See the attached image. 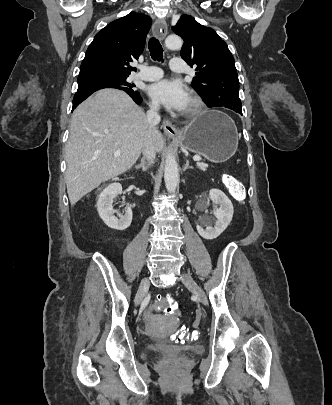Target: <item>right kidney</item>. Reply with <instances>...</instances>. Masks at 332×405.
<instances>
[{
    "mask_svg": "<svg viewBox=\"0 0 332 405\" xmlns=\"http://www.w3.org/2000/svg\"><path fill=\"white\" fill-rule=\"evenodd\" d=\"M122 194V186L120 183H112L108 185L99 195L97 201V211L104 223L112 229L123 231L126 230L132 222V210L127 207L124 214L118 213L115 217L116 210L113 208V199L117 195Z\"/></svg>",
    "mask_w": 332,
    "mask_h": 405,
    "instance_id": "right-kidney-1",
    "label": "right kidney"
}]
</instances>
